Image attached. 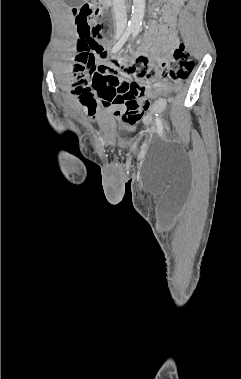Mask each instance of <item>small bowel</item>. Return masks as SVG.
<instances>
[{
    "instance_id": "1",
    "label": "small bowel",
    "mask_w": 241,
    "mask_h": 379,
    "mask_svg": "<svg viewBox=\"0 0 241 379\" xmlns=\"http://www.w3.org/2000/svg\"><path fill=\"white\" fill-rule=\"evenodd\" d=\"M170 5L166 9V18L168 25L159 27L155 32L150 33L145 40V48L152 52L153 59L159 61H168L171 58L173 50L178 46L179 40L176 32L173 30L175 16L181 6L182 0H170ZM130 79L131 75H125ZM127 82V80L125 81ZM133 82L138 85L137 82ZM163 95L159 90L153 92V87L148 83H141L134 89H128L127 93L117 94L110 101V109L115 117L126 126L132 129L142 119H150L146 111L150 110V96L157 97ZM163 100L160 98L156 102V107L161 105Z\"/></svg>"
}]
</instances>
